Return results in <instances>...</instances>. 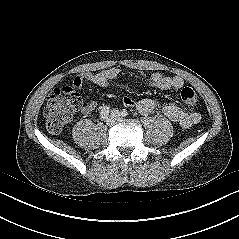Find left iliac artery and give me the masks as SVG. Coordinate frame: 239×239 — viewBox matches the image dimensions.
I'll list each match as a JSON object with an SVG mask.
<instances>
[{
	"instance_id": "1",
	"label": "left iliac artery",
	"mask_w": 239,
	"mask_h": 239,
	"mask_svg": "<svg viewBox=\"0 0 239 239\" xmlns=\"http://www.w3.org/2000/svg\"><path fill=\"white\" fill-rule=\"evenodd\" d=\"M121 115L122 116H127L128 115V111L126 109H123L122 112H121Z\"/></svg>"
}]
</instances>
